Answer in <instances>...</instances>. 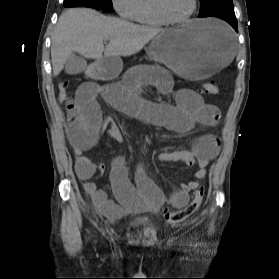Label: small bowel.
<instances>
[{
	"label": "small bowel",
	"instance_id": "obj_1",
	"mask_svg": "<svg viewBox=\"0 0 279 279\" xmlns=\"http://www.w3.org/2000/svg\"><path fill=\"white\" fill-rule=\"evenodd\" d=\"M146 84L154 85L162 95L173 96L176 105L152 103L143 99L139 92ZM100 102L133 118L176 133H187L196 125H217L219 109L206 103L194 90H174L169 74L158 67H132L125 72L120 84H82L65 101V132L78 156L75 172L96 208L111 219L121 217L125 210L160 209L166 201L162 190L146 175L142 166L137 168L135 181L132 182L122 157L113 161L110 174L117 203L109 199L106 192L92 180L97 173L104 172V167L84 154L97 146L105 130L112 138H121L118 126L103 118ZM219 151V137L204 134L193 141L190 149L166 151L159 155L162 161H182L189 166H196L194 178L169 194L171 206L181 208L187 204L190 191L198 188L200 180L206 177L207 166Z\"/></svg>",
	"mask_w": 279,
	"mask_h": 279
}]
</instances>
